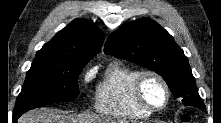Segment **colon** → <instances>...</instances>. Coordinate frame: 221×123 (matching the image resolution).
Instances as JSON below:
<instances>
[{"instance_id":"obj_1","label":"colon","mask_w":221,"mask_h":123,"mask_svg":"<svg viewBox=\"0 0 221 123\" xmlns=\"http://www.w3.org/2000/svg\"><path fill=\"white\" fill-rule=\"evenodd\" d=\"M182 121H183L184 123H188V122L191 121V118H190L189 115H183V117H182Z\"/></svg>"}]
</instances>
